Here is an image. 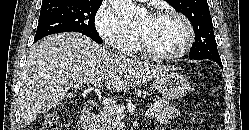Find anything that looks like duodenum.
I'll return each instance as SVG.
<instances>
[{
  "mask_svg": "<svg viewBox=\"0 0 249 130\" xmlns=\"http://www.w3.org/2000/svg\"><path fill=\"white\" fill-rule=\"evenodd\" d=\"M100 111L97 101L88 100L83 107L77 130H97Z\"/></svg>",
  "mask_w": 249,
  "mask_h": 130,
  "instance_id": "410a0bca",
  "label": "duodenum"
}]
</instances>
